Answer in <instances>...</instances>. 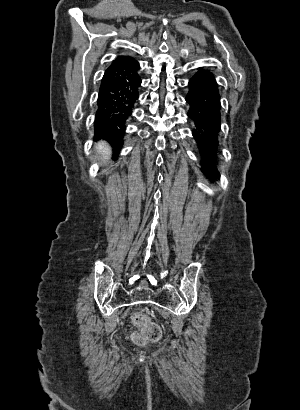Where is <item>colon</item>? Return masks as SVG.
I'll return each mask as SVG.
<instances>
[{"label": "colon", "instance_id": "colon-1", "mask_svg": "<svg viewBox=\"0 0 300 410\" xmlns=\"http://www.w3.org/2000/svg\"><path fill=\"white\" fill-rule=\"evenodd\" d=\"M133 323L139 329V332L133 335V341L138 345L157 342L162 336L161 327L151 322L143 314H135Z\"/></svg>", "mask_w": 300, "mask_h": 410}]
</instances>
